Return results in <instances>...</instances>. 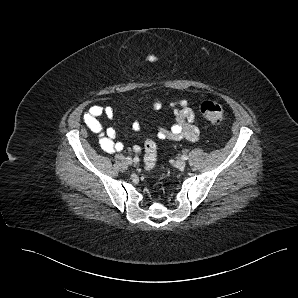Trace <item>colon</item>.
Segmentation results:
<instances>
[{"label": "colon", "instance_id": "obj_1", "mask_svg": "<svg viewBox=\"0 0 298 298\" xmlns=\"http://www.w3.org/2000/svg\"><path fill=\"white\" fill-rule=\"evenodd\" d=\"M201 113L203 117L211 123L219 124L224 121L226 117L225 108L214 101H204L201 104ZM144 165L151 169L157 163V147L156 143L149 139L145 142Z\"/></svg>", "mask_w": 298, "mask_h": 298}]
</instances>
